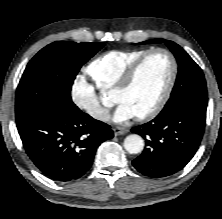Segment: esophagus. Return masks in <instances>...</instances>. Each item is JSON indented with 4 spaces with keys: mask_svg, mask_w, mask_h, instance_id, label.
<instances>
[{
    "mask_svg": "<svg viewBox=\"0 0 222 219\" xmlns=\"http://www.w3.org/2000/svg\"><path fill=\"white\" fill-rule=\"evenodd\" d=\"M113 131H114L115 136H117V135H123L127 133L128 129L123 128V127H114Z\"/></svg>",
    "mask_w": 222,
    "mask_h": 219,
    "instance_id": "34e87169",
    "label": "esophagus"
}]
</instances>
